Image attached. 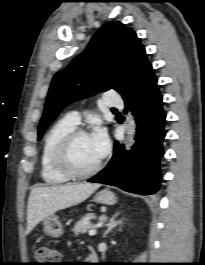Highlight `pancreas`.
I'll return each instance as SVG.
<instances>
[{"mask_svg":"<svg viewBox=\"0 0 205 265\" xmlns=\"http://www.w3.org/2000/svg\"><path fill=\"white\" fill-rule=\"evenodd\" d=\"M92 218H94V215L91 213L83 216L78 222H76L74 228L72 229L73 233L78 236L79 234L86 233L88 230H90L94 226L90 222ZM100 220L104 221L105 216H101Z\"/></svg>","mask_w":205,"mask_h":265,"instance_id":"pancreas-1","label":"pancreas"}]
</instances>
